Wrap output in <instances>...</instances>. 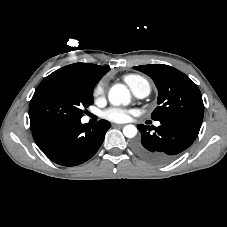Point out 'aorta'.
<instances>
[{"label": "aorta", "instance_id": "obj_1", "mask_svg": "<svg viewBox=\"0 0 227 227\" xmlns=\"http://www.w3.org/2000/svg\"><path fill=\"white\" fill-rule=\"evenodd\" d=\"M130 98V93L126 86L123 84H115L109 90L108 99L109 102L113 105H128L130 102ZM123 134L127 138H133L137 134V128L132 124L126 125L123 128Z\"/></svg>", "mask_w": 227, "mask_h": 227}]
</instances>
